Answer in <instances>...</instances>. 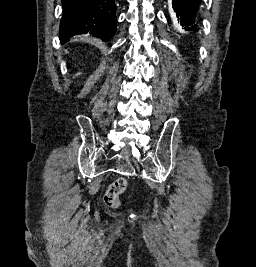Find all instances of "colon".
I'll use <instances>...</instances> for the list:
<instances>
[{
  "label": "colon",
  "mask_w": 256,
  "mask_h": 267,
  "mask_svg": "<svg viewBox=\"0 0 256 267\" xmlns=\"http://www.w3.org/2000/svg\"><path fill=\"white\" fill-rule=\"evenodd\" d=\"M127 189V181L124 178H118L113 181L103 195L104 203L110 207L115 208L118 204L119 197Z\"/></svg>",
  "instance_id": "1"
}]
</instances>
